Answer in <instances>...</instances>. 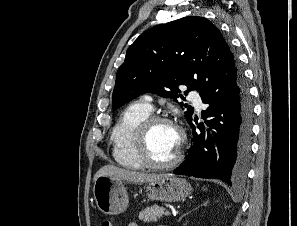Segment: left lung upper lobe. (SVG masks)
<instances>
[{"label": "left lung upper lobe", "mask_w": 297, "mask_h": 226, "mask_svg": "<svg viewBox=\"0 0 297 226\" xmlns=\"http://www.w3.org/2000/svg\"><path fill=\"white\" fill-rule=\"evenodd\" d=\"M240 74L217 27L203 17H184L144 32L128 48L116 75L112 108L146 92L177 101L179 85L188 87L184 93H200L210 85L234 84ZM185 107L189 122L193 108Z\"/></svg>", "instance_id": "left-lung-upper-lobe-1"}]
</instances>
